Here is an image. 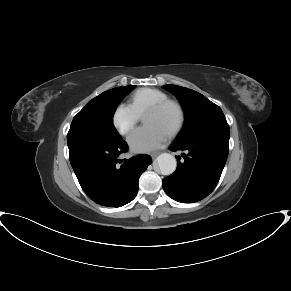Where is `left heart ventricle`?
Wrapping results in <instances>:
<instances>
[{
    "label": "left heart ventricle",
    "instance_id": "left-heart-ventricle-1",
    "mask_svg": "<svg viewBox=\"0 0 291 291\" xmlns=\"http://www.w3.org/2000/svg\"><path fill=\"white\" fill-rule=\"evenodd\" d=\"M142 119L145 124H152L169 132L175 123L176 113L173 108L168 107L160 112L145 113Z\"/></svg>",
    "mask_w": 291,
    "mask_h": 291
}]
</instances>
